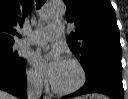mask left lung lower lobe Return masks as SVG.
<instances>
[{
	"mask_svg": "<svg viewBox=\"0 0 128 99\" xmlns=\"http://www.w3.org/2000/svg\"><path fill=\"white\" fill-rule=\"evenodd\" d=\"M83 69L86 73V83L77 92L63 99L88 93H101L114 99H124L121 56L96 54Z\"/></svg>",
	"mask_w": 128,
	"mask_h": 99,
	"instance_id": "0a47b994",
	"label": "left lung lower lobe"
}]
</instances>
